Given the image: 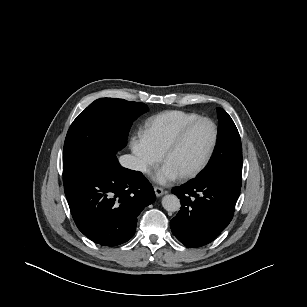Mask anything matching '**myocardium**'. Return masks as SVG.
Instances as JSON below:
<instances>
[{"instance_id": "f54148a6", "label": "myocardium", "mask_w": 307, "mask_h": 307, "mask_svg": "<svg viewBox=\"0 0 307 307\" xmlns=\"http://www.w3.org/2000/svg\"><path fill=\"white\" fill-rule=\"evenodd\" d=\"M200 123H208V124L211 125V127L213 129L212 141H211V144L208 148V151H207L205 157L203 158V160L201 161V163L196 168H194L193 170H191V171H189V172L180 176V178L183 179V180H189V179L196 177L207 167L208 163L210 162V160L213 156V153L215 151L217 143H218L219 130H218L217 124L212 119L207 118V117H199V118L187 123L177 133V135L170 142V144L167 146V148L165 149V151L163 153V161L165 162L167 160V158L180 146V144L183 142V140L188 135V133L196 125H198Z\"/></svg>"}]
</instances>
